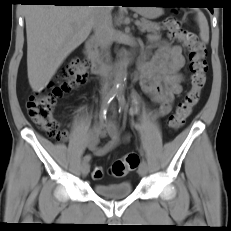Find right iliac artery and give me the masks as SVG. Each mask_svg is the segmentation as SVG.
Listing matches in <instances>:
<instances>
[{
	"label": "right iliac artery",
	"mask_w": 231,
	"mask_h": 231,
	"mask_svg": "<svg viewBox=\"0 0 231 231\" xmlns=\"http://www.w3.org/2000/svg\"><path fill=\"white\" fill-rule=\"evenodd\" d=\"M117 92L118 91L116 88H112L110 92L107 94L106 98L104 99L101 105V108H100V113H99L100 122L106 121L109 104L115 98V96L117 95ZM90 159H91L90 155H85L83 158V161L89 162Z\"/></svg>",
	"instance_id": "obj_1"
}]
</instances>
